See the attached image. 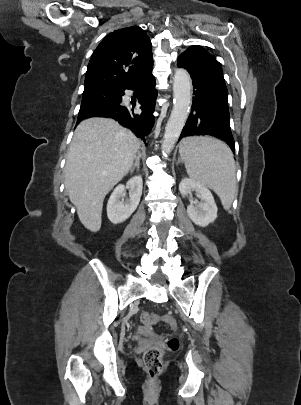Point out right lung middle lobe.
<instances>
[{
  "label": "right lung middle lobe",
  "instance_id": "1",
  "mask_svg": "<svg viewBox=\"0 0 301 405\" xmlns=\"http://www.w3.org/2000/svg\"><path fill=\"white\" fill-rule=\"evenodd\" d=\"M122 98V91L110 88H95L84 90L80 111H86L98 106L115 103Z\"/></svg>",
  "mask_w": 301,
  "mask_h": 405
}]
</instances>
